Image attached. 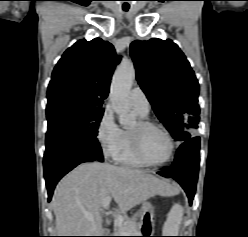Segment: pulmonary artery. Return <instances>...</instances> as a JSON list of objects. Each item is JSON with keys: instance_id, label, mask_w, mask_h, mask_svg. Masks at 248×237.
<instances>
[{"instance_id": "e3ab8cb5", "label": "pulmonary artery", "mask_w": 248, "mask_h": 237, "mask_svg": "<svg viewBox=\"0 0 248 237\" xmlns=\"http://www.w3.org/2000/svg\"><path fill=\"white\" fill-rule=\"evenodd\" d=\"M130 103L132 107L143 114H148L150 110V103L140 87H134L130 91Z\"/></svg>"}]
</instances>
